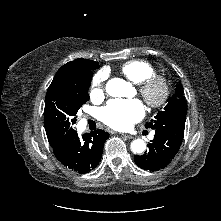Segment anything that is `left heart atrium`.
<instances>
[{
	"label": "left heart atrium",
	"mask_w": 221,
	"mask_h": 221,
	"mask_svg": "<svg viewBox=\"0 0 221 221\" xmlns=\"http://www.w3.org/2000/svg\"><path fill=\"white\" fill-rule=\"evenodd\" d=\"M144 116V108L138 100H112L101 109L100 118L116 130L129 129Z\"/></svg>",
	"instance_id": "obj_1"
}]
</instances>
